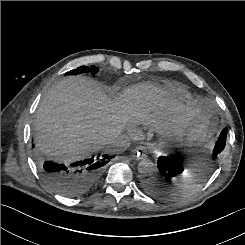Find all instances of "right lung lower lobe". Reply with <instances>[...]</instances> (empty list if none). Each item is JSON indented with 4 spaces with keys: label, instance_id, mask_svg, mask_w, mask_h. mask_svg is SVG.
I'll return each mask as SVG.
<instances>
[{
    "label": "right lung lower lobe",
    "instance_id": "98d812e1",
    "mask_svg": "<svg viewBox=\"0 0 245 245\" xmlns=\"http://www.w3.org/2000/svg\"><path fill=\"white\" fill-rule=\"evenodd\" d=\"M113 156L103 155L77 161L70 165L42 161L37 158L38 168L46 182L59 194L66 197H79L96 183L105 164Z\"/></svg>",
    "mask_w": 245,
    "mask_h": 245
}]
</instances>
